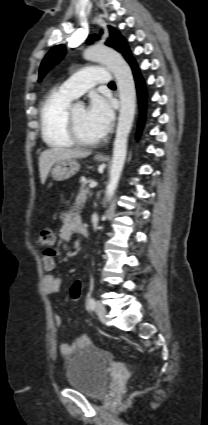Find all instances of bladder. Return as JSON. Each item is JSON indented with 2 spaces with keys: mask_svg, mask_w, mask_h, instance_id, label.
<instances>
[{
  "mask_svg": "<svg viewBox=\"0 0 208 425\" xmlns=\"http://www.w3.org/2000/svg\"><path fill=\"white\" fill-rule=\"evenodd\" d=\"M111 360L110 354L95 348L79 351L69 360L66 383L86 396H102L110 383L108 367Z\"/></svg>",
  "mask_w": 208,
  "mask_h": 425,
  "instance_id": "obj_1",
  "label": "bladder"
}]
</instances>
